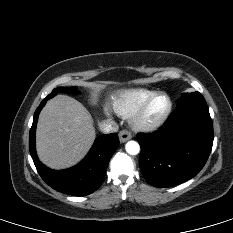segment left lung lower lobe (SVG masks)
Masks as SVG:
<instances>
[{"instance_id": "1", "label": "left lung lower lobe", "mask_w": 233, "mask_h": 233, "mask_svg": "<svg viewBox=\"0 0 233 233\" xmlns=\"http://www.w3.org/2000/svg\"><path fill=\"white\" fill-rule=\"evenodd\" d=\"M139 165L149 184L166 188L183 183L205 165L213 145V125L205 100L177 106L152 134H138Z\"/></svg>"}]
</instances>
